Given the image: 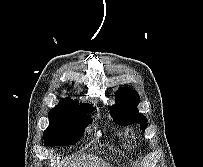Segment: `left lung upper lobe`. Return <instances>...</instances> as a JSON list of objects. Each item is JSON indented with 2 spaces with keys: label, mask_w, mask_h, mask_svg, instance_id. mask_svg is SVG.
Returning a JSON list of instances; mask_svg holds the SVG:
<instances>
[{
  "label": "left lung upper lobe",
  "mask_w": 203,
  "mask_h": 167,
  "mask_svg": "<svg viewBox=\"0 0 203 167\" xmlns=\"http://www.w3.org/2000/svg\"><path fill=\"white\" fill-rule=\"evenodd\" d=\"M115 96L117 103L108 107L114 121L123 125L138 123L144 131L147 127V119L137 109L140 102L139 94L131 88L124 87L117 91Z\"/></svg>",
  "instance_id": "1"
}]
</instances>
